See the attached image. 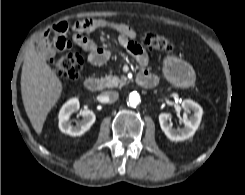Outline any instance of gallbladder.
<instances>
[{
    "label": "gallbladder",
    "instance_id": "1",
    "mask_svg": "<svg viewBox=\"0 0 245 195\" xmlns=\"http://www.w3.org/2000/svg\"><path fill=\"white\" fill-rule=\"evenodd\" d=\"M45 49L47 50V56L48 57H54L55 56L56 51L53 47L48 45L47 47H45ZM40 51H43V50H40Z\"/></svg>",
    "mask_w": 245,
    "mask_h": 195
}]
</instances>
